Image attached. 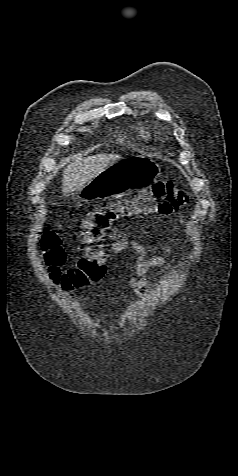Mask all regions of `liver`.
I'll return each mask as SVG.
<instances>
[{"mask_svg": "<svg viewBox=\"0 0 238 476\" xmlns=\"http://www.w3.org/2000/svg\"><path fill=\"white\" fill-rule=\"evenodd\" d=\"M120 158L121 157L116 154H97L84 158L81 156H72L68 158L67 162H69V164L63 171V193L68 195L80 190L90 180L115 164Z\"/></svg>", "mask_w": 238, "mask_h": 476, "instance_id": "obj_1", "label": "liver"}]
</instances>
